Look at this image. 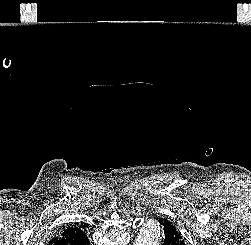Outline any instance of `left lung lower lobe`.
Returning <instances> with one entry per match:
<instances>
[{"label":"left lung lower lobe","instance_id":"0a47b994","mask_svg":"<svg viewBox=\"0 0 251 245\" xmlns=\"http://www.w3.org/2000/svg\"><path fill=\"white\" fill-rule=\"evenodd\" d=\"M159 224L162 245H185L180 233L170 221L160 218Z\"/></svg>","mask_w":251,"mask_h":245}]
</instances>
